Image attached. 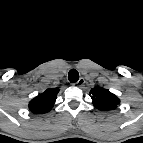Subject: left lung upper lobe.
<instances>
[{"label": "left lung upper lobe", "instance_id": "1", "mask_svg": "<svg viewBox=\"0 0 143 143\" xmlns=\"http://www.w3.org/2000/svg\"><path fill=\"white\" fill-rule=\"evenodd\" d=\"M90 94L92 95L93 105L102 111L114 110L120 103L116 95L102 87L95 86L91 89Z\"/></svg>", "mask_w": 143, "mask_h": 143}]
</instances>
